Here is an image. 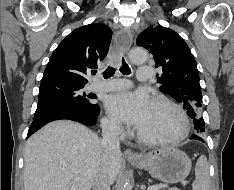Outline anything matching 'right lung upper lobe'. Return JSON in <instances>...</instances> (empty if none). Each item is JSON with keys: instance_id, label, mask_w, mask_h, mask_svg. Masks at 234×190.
<instances>
[{"instance_id": "obj_1", "label": "right lung upper lobe", "mask_w": 234, "mask_h": 190, "mask_svg": "<svg viewBox=\"0 0 234 190\" xmlns=\"http://www.w3.org/2000/svg\"><path fill=\"white\" fill-rule=\"evenodd\" d=\"M111 37V29L100 23L75 29L51 55L41 83L59 80L85 85L89 70L107 55Z\"/></svg>"}]
</instances>
